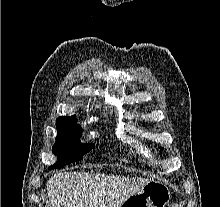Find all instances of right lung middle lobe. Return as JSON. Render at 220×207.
<instances>
[{"instance_id":"obj_1","label":"right lung middle lobe","mask_w":220,"mask_h":207,"mask_svg":"<svg viewBox=\"0 0 220 207\" xmlns=\"http://www.w3.org/2000/svg\"><path fill=\"white\" fill-rule=\"evenodd\" d=\"M56 127L58 135L52 151L58 160L49 169L59 168L61 165L78 161L94 147V144H82L79 141L82 128L76 123V116L58 117Z\"/></svg>"}]
</instances>
